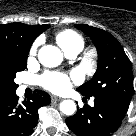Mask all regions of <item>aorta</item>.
Instances as JSON below:
<instances>
[{
    "label": "aorta",
    "mask_w": 136,
    "mask_h": 136,
    "mask_svg": "<svg viewBox=\"0 0 136 136\" xmlns=\"http://www.w3.org/2000/svg\"><path fill=\"white\" fill-rule=\"evenodd\" d=\"M38 59L45 67H56L61 64L63 54L57 47L45 45L39 49ZM60 111L67 116L73 115L76 111L75 102L72 100H63L60 103Z\"/></svg>",
    "instance_id": "1"
}]
</instances>
